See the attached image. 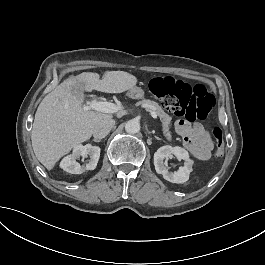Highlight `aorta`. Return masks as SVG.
<instances>
[{
	"mask_svg": "<svg viewBox=\"0 0 265 265\" xmlns=\"http://www.w3.org/2000/svg\"><path fill=\"white\" fill-rule=\"evenodd\" d=\"M125 131L128 134H136L140 131V122L139 120L133 118L125 124Z\"/></svg>",
	"mask_w": 265,
	"mask_h": 265,
	"instance_id": "762f6f07",
	"label": "aorta"
}]
</instances>
